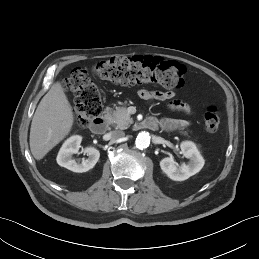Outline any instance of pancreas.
I'll return each mask as SVG.
<instances>
[{
  "label": "pancreas",
  "mask_w": 259,
  "mask_h": 259,
  "mask_svg": "<svg viewBox=\"0 0 259 259\" xmlns=\"http://www.w3.org/2000/svg\"><path fill=\"white\" fill-rule=\"evenodd\" d=\"M106 117L110 123L120 129H127L133 123V119L125 107H116L113 111H107ZM181 134L188 136L187 131H182Z\"/></svg>",
  "instance_id": "pancreas-1"
}]
</instances>
